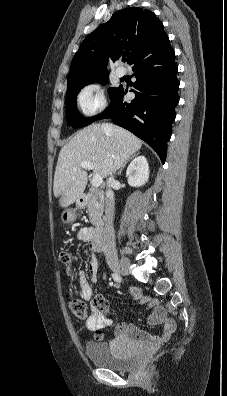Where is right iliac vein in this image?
Listing matches in <instances>:
<instances>
[{
    "instance_id": "obj_1",
    "label": "right iliac vein",
    "mask_w": 227,
    "mask_h": 396,
    "mask_svg": "<svg viewBox=\"0 0 227 396\" xmlns=\"http://www.w3.org/2000/svg\"><path fill=\"white\" fill-rule=\"evenodd\" d=\"M109 266L115 273L122 275L128 274V263L124 260H111Z\"/></svg>"
}]
</instances>
